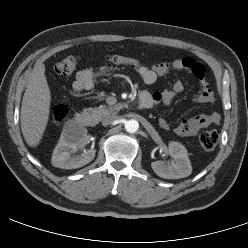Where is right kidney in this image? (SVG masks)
Listing matches in <instances>:
<instances>
[{
  "mask_svg": "<svg viewBox=\"0 0 248 248\" xmlns=\"http://www.w3.org/2000/svg\"><path fill=\"white\" fill-rule=\"evenodd\" d=\"M86 134L85 128L65 129L53 151L52 165L62 169H75L91 162L95 157L96 151L94 149L84 150L82 154L73 157L69 151L84 147L87 143Z\"/></svg>",
  "mask_w": 248,
  "mask_h": 248,
  "instance_id": "obj_1",
  "label": "right kidney"
}]
</instances>
